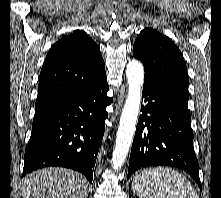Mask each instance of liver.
I'll return each mask as SVG.
<instances>
[{
  "mask_svg": "<svg viewBox=\"0 0 221 198\" xmlns=\"http://www.w3.org/2000/svg\"><path fill=\"white\" fill-rule=\"evenodd\" d=\"M87 180L65 168L50 167L27 175L18 198H87Z\"/></svg>",
  "mask_w": 221,
  "mask_h": 198,
  "instance_id": "1",
  "label": "liver"
}]
</instances>
